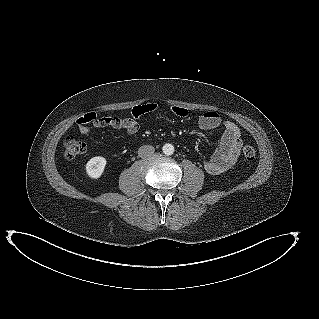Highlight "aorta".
<instances>
[{"label": "aorta", "mask_w": 319, "mask_h": 319, "mask_svg": "<svg viewBox=\"0 0 319 319\" xmlns=\"http://www.w3.org/2000/svg\"><path fill=\"white\" fill-rule=\"evenodd\" d=\"M162 150L164 154L172 155L174 153V146L168 143L163 146Z\"/></svg>", "instance_id": "1"}]
</instances>
